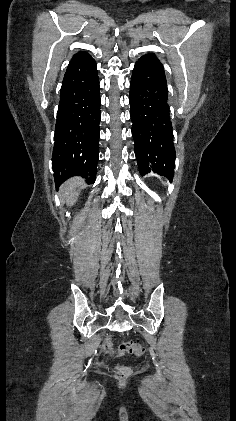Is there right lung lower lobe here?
I'll list each match as a JSON object with an SVG mask.
<instances>
[{"label": "right lung lower lobe", "mask_w": 236, "mask_h": 421, "mask_svg": "<svg viewBox=\"0 0 236 421\" xmlns=\"http://www.w3.org/2000/svg\"><path fill=\"white\" fill-rule=\"evenodd\" d=\"M100 91L96 62L71 59L60 89L52 167L56 187L72 176L94 183L99 156Z\"/></svg>", "instance_id": "obj_1"}]
</instances>
